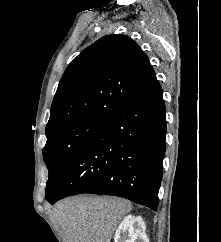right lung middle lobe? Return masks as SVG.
Instances as JSON below:
<instances>
[{
	"instance_id": "1",
	"label": "right lung middle lobe",
	"mask_w": 221,
	"mask_h": 242,
	"mask_svg": "<svg viewBox=\"0 0 221 242\" xmlns=\"http://www.w3.org/2000/svg\"><path fill=\"white\" fill-rule=\"evenodd\" d=\"M102 122V119L86 118L65 123L46 131L47 142L43 148L44 161L49 170L46 197L73 155Z\"/></svg>"
}]
</instances>
